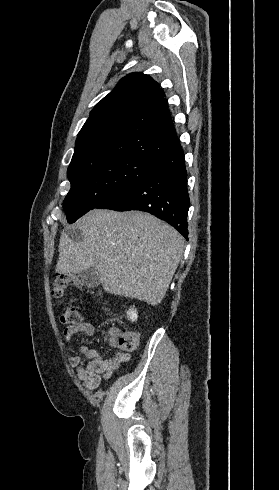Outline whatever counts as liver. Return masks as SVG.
Masks as SVG:
<instances>
[{
  "label": "liver",
  "instance_id": "1",
  "mask_svg": "<svg viewBox=\"0 0 279 490\" xmlns=\"http://www.w3.org/2000/svg\"><path fill=\"white\" fill-rule=\"evenodd\" d=\"M74 226L84 240L62 234L57 274L95 268L108 294L151 306L162 302L185 248L179 232L147 212L91 210Z\"/></svg>",
  "mask_w": 279,
  "mask_h": 490
}]
</instances>
